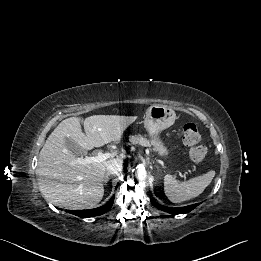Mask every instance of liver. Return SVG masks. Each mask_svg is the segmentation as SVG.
I'll list each match as a JSON object with an SVG mask.
<instances>
[{
  "mask_svg": "<svg viewBox=\"0 0 261 261\" xmlns=\"http://www.w3.org/2000/svg\"><path fill=\"white\" fill-rule=\"evenodd\" d=\"M136 116L93 115L83 124L80 118L63 120L49 135L39 154L37 176L43 197L56 206L84 209L97 205L103 198L106 167L118 154L103 162L76 163L77 157L66 146V138L82 150H91L110 142H119Z\"/></svg>",
  "mask_w": 261,
  "mask_h": 261,
  "instance_id": "obj_1",
  "label": "liver"
}]
</instances>
